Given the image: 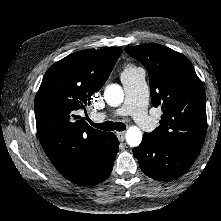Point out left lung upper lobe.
<instances>
[{
  "label": "left lung upper lobe",
  "mask_w": 221,
  "mask_h": 221,
  "mask_svg": "<svg viewBox=\"0 0 221 221\" xmlns=\"http://www.w3.org/2000/svg\"><path fill=\"white\" fill-rule=\"evenodd\" d=\"M125 50L146 67L152 105L163 112L160 126L144 135L198 155L207 129L206 96L191 62L183 54L155 43Z\"/></svg>",
  "instance_id": "obj_1"
}]
</instances>
